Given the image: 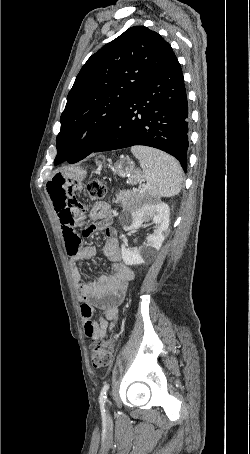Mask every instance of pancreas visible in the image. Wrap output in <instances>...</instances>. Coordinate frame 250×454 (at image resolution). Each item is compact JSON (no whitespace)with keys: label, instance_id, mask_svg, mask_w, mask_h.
<instances>
[{"label":"pancreas","instance_id":"1","mask_svg":"<svg viewBox=\"0 0 250 454\" xmlns=\"http://www.w3.org/2000/svg\"><path fill=\"white\" fill-rule=\"evenodd\" d=\"M142 199H143V194L136 192V193L128 194L127 196L119 194L117 196V200L115 202L121 201L124 208H129L131 205V202L133 200L141 201Z\"/></svg>","mask_w":250,"mask_h":454}]
</instances>
